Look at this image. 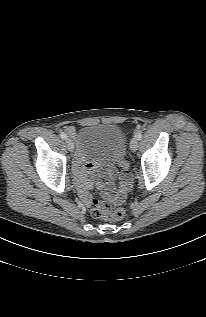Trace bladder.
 I'll return each instance as SVG.
<instances>
[{
    "instance_id": "31cf9c89",
    "label": "bladder",
    "mask_w": 206,
    "mask_h": 317,
    "mask_svg": "<svg viewBox=\"0 0 206 317\" xmlns=\"http://www.w3.org/2000/svg\"><path fill=\"white\" fill-rule=\"evenodd\" d=\"M78 146L85 154L94 156L105 164H116L125 155L127 137L115 124H89L77 135Z\"/></svg>"
}]
</instances>
